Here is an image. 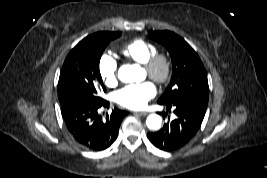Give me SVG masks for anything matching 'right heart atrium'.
<instances>
[{
  "instance_id": "1",
  "label": "right heart atrium",
  "mask_w": 267,
  "mask_h": 178,
  "mask_svg": "<svg viewBox=\"0 0 267 178\" xmlns=\"http://www.w3.org/2000/svg\"><path fill=\"white\" fill-rule=\"evenodd\" d=\"M99 75L103 83L113 88L118 83L117 62L110 54H103L98 64Z\"/></svg>"
}]
</instances>
